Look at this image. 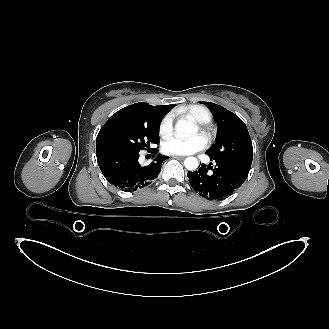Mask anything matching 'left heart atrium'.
Instances as JSON below:
<instances>
[{"instance_id": "39dd6f15", "label": "left heart atrium", "mask_w": 329, "mask_h": 329, "mask_svg": "<svg viewBox=\"0 0 329 329\" xmlns=\"http://www.w3.org/2000/svg\"><path fill=\"white\" fill-rule=\"evenodd\" d=\"M207 145L202 135H194L190 138L171 137L163 143V149L168 154L188 155L204 149Z\"/></svg>"}]
</instances>
